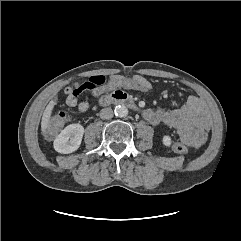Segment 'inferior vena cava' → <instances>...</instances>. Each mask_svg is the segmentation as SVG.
<instances>
[{"label":"inferior vena cava","mask_w":241,"mask_h":241,"mask_svg":"<svg viewBox=\"0 0 241 241\" xmlns=\"http://www.w3.org/2000/svg\"><path fill=\"white\" fill-rule=\"evenodd\" d=\"M113 117V110L111 108H104L100 111V118L103 120L111 119Z\"/></svg>","instance_id":"obj_1"}]
</instances>
